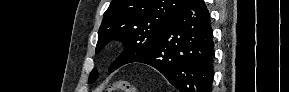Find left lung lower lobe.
I'll use <instances>...</instances> for the list:
<instances>
[{"instance_id": "obj_1", "label": "left lung lower lobe", "mask_w": 289, "mask_h": 92, "mask_svg": "<svg viewBox=\"0 0 289 92\" xmlns=\"http://www.w3.org/2000/svg\"><path fill=\"white\" fill-rule=\"evenodd\" d=\"M213 35L203 0H188L154 46L132 62L159 70L180 92H211Z\"/></svg>"}]
</instances>
